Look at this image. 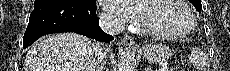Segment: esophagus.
Returning <instances> with one entry per match:
<instances>
[{"label":"esophagus","mask_w":230,"mask_h":71,"mask_svg":"<svg viewBox=\"0 0 230 71\" xmlns=\"http://www.w3.org/2000/svg\"><path fill=\"white\" fill-rule=\"evenodd\" d=\"M122 42L128 47H137L135 40L131 36H128V35H125L123 37Z\"/></svg>","instance_id":"1"}]
</instances>
